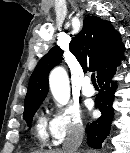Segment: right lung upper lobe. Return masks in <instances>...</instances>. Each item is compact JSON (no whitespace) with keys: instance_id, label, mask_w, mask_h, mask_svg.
<instances>
[{"instance_id":"1","label":"right lung upper lobe","mask_w":130,"mask_h":153,"mask_svg":"<svg viewBox=\"0 0 130 153\" xmlns=\"http://www.w3.org/2000/svg\"><path fill=\"white\" fill-rule=\"evenodd\" d=\"M69 48L83 70L96 71L97 78L122 58L125 49L120 33L113 28L111 22L96 16L83 20V28L73 37ZM62 53V49L55 46L41 58L29 81L25 108L41 104L45 99L49 89L48 74L61 62Z\"/></svg>"}]
</instances>
